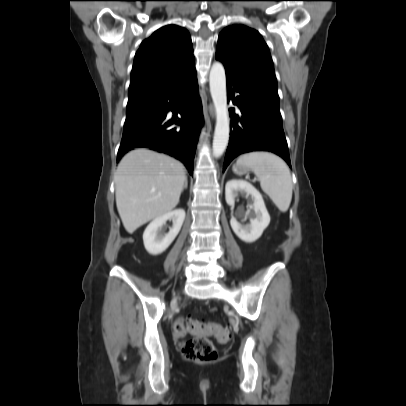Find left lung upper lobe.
Returning a JSON list of instances; mask_svg holds the SVG:
<instances>
[{
	"label": "left lung upper lobe",
	"mask_w": 406,
	"mask_h": 406,
	"mask_svg": "<svg viewBox=\"0 0 406 406\" xmlns=\"http://www.w3.org/2000/svg\"><path fill=\"white\" fill-rule=\"evenodd\" d=\"M216 59L225 70L247 83L277 92V80L267 44L255 29L232 25L218 38Z\"/></svg>",
	"instance_id": "left-lung-upper-lobe-1"
}]
</instances>
